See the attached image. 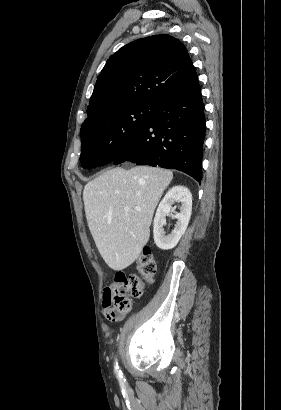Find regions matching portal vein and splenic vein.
Segmentation results:
<instances>
[{
  "label": "portal vein and splenic vein",
  "mask_w": 281,
  "mask_h": 410,
  "mask_svg": "<svg viewBox=\"0 0 281 410\" xmlns=\"http://www.w3.org/2000/svg\"><path fill=\"white\" fill-rule=\"evenodd\" d=\"M135 210L141 211V208H140V207H135ZM124 211H125V212H128V211H129V207H124Z\"/></svg>",
  "instance_id": "obj_1"
}]
</instances>
